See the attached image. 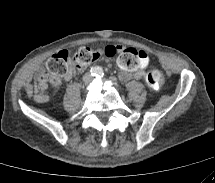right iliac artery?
Returning <instances> with one entry per match:
<instances>
[{
    "instance_id": "1",
    "label": "right iliac artery",
    "mask_w": 215,
    "mask_h": 183,
    "mask_svg": "<svg viewBox=\"0 0 215 183\" xmlns=\"http://www.w3.org/2000/svg\"><path fill=\"white\" fill-rule=\"evenodd\" d=\"M97 74L96 68H91V75L95 76Z\"/></svg>"
}]
</instances>
